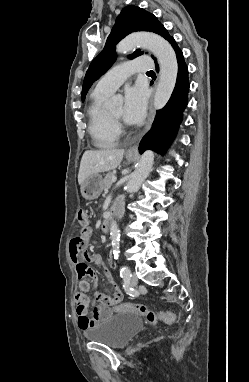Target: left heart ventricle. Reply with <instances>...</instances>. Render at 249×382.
Here are the masks:
<instances>
[{"label": "left heart ventricle", "instance_id": "left-heart-ventricle-1", "mask_svg": "<svg viewBox=\"0 0 249 382\" xmlns=\"http://www.w3.org/2000/svg\"><path fill=\"white\" fill-rule=\"evenodd\" d=\"M110 114L115 118L121 119L123 116V109L122 107H118L115 110H113Z\"/></svg>", "mask_w": 249, "mask_h": 382}]
</instances>
